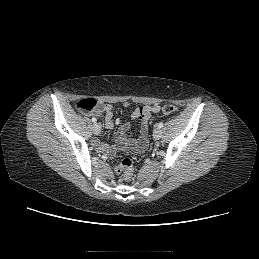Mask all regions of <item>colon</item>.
<instances>
[{
    "instance_id": "1",
    "label": "colon",
    "mask_w": 259,
    "mask_h": 259,
    "mask_svg": "<svg viewBox=\"0 0 259 259\" xmlns=\"http://www.w3.org/2000/svg\"><path fill=\"white\" fill-rule=\"evenodd\" d=\"M101 105L92 98L82 99L77 103V108L79 111L84 113H91L96 111ZM161 112L164 115H171L178 112V108L173 105H164L161 107ZM142 115H147V110L141 108ZM115 171L120 175L122 181L129 182L133 177L134 165L130 158L122 159L115 167Z\"/></svg>"
}]
</instances>
